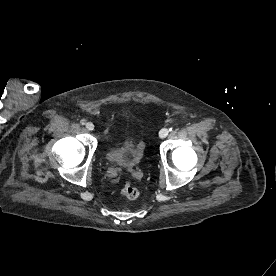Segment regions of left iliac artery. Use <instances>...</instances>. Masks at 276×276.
Segmentation results:
<instances>
[{"instance_id": "obj_1", "label": "left iliac artery", "mask_w": 276, "mask_h": 276, "mask_svg": "<svg viewBox=\"0 0 276 276\" xmlns=\"http://www.w3.org/2000/svg\"><path fill=\"white\" fill-rule=\"evenodd\" d=\"M172 130H173L172 128L169 129V131H172Z\"/></svg>"}]
</instances>
